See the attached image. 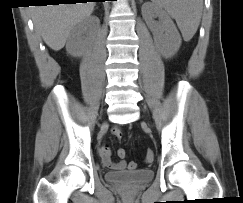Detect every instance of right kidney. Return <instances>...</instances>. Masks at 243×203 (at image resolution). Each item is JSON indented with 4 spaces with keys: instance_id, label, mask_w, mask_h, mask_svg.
<instances>
[{
    "instance_id": "right-kidney-1",
    "label": "right kidney",
    "mask_w": 243,
    "mask_h": 203,
    "mask_svg": "<svg viewBox=\"0 0 243 203\" xmlns=\"http://www.w3.org/2000/svg\"><path fill=\"white\" fill-rule=\"evenodd\" d=\"M100 20L91 16L76 25L70 32L66 43L67 52L74 56H82L88 48L86 35L94 36L99 29Z\"/></svg>"
}]
</instances>
